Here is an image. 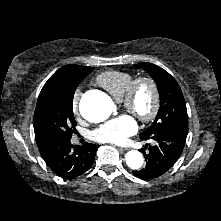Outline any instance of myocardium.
Segmentation results:
<instances>
[{
    "label": "myocardium",
    "instance_id": "obj_1",
    "mask_svg": "<svg viewBox=\"0 0 221 221\" xmlns=\"http://www.w3.org/2000/svg\"><path fill=\"white\" fill-rule=\"evenodd\" d=\"M146 84L150 90H151V95H152V105L149 110V112L142 114L139 113L135 108H134V96L136 93L137 88L142 85ZM121 103L123 107L134 114L141 122L143 123H149L152 122L158 115L159 109H160V91L159 87L157 85V82L150 76L144 75V76H139L135 79H133L126 91L124 92L122 98H121Z\"/></svg>",
    "mask_w": 221,
    "mask_h": 221
}]
</instances>
